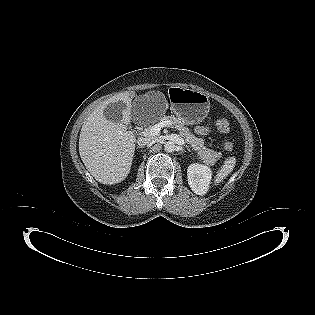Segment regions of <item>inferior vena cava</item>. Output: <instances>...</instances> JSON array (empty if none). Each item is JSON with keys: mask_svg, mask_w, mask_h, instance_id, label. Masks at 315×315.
Segmentation results:
<instances>
[{"mask_svg": "<svg viewBox=\"0 0 315 315\" xmlns=\"http://www.w3.org/2000/svg\"><path fill=\"white\" fill-rule=\"evenodd\" d=\"M152 138L151 137H146V138H139L137 140V144L142 147V146H146L149 145L152 142Z\"/></svg>", "mask_w": 315, "mask_h": 315, "instance_id": "inferior-vena-cava-1", "label": "inferior vena cava"}]
</instances>
